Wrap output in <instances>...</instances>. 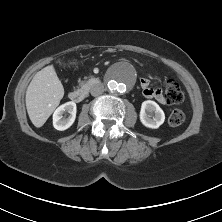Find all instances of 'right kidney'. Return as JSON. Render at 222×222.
Masks as SVG:
<instances>
[{
  "label": "right kidney",
  "instance_id": "obj_1",
  "mask_svg": "<svg viewBox=\"0 0 222 222\" xmlns=\"http://www.w3.org/2000/svg\"><path fill=\"white\" fill-rule=\"evenodd\" d=\"M77 107L73 101L60 105L53 114V126L56 130L64 131L75 121Z\"/></svg>",
  "mask_w": 222,
  "mask_h": 222
}]
</instances>
